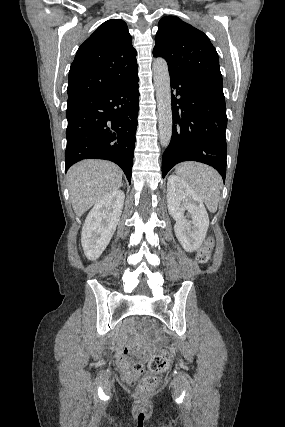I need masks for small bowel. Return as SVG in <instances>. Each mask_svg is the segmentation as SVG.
<instances>
[{
    "instance_id": "c3829d8e",
    "label": "small bowel",
    "mask_w": 285,
    "mask_h": 427,
    "mask_svg": "<svg viewBox=\"0 0 285 427\" xmlns=\"http://www.w3.org/2000/svg\"><path fill=\"white\" fill-rule=\"evenodd\" d=\"M123 346H124V340H121L120 342H119V344L117 345V356H118V361H119V363L123 366V368L125 369V371L127 372V373H130L131 372V366H130V362H129V360H128V358L127 357H124V356H122L120 353H121V350H122V348H123Z\"/></svg>"
}]
</instances>
